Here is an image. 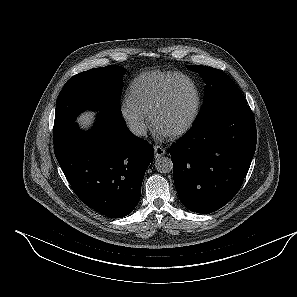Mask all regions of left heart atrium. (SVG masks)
Wrapping results in <instances>:
<instances>
[{"instance_id":"39dd6f15","label":"left heart atrium","mask_w":297,"mask_h":297,"mask_svg":"<svg viewBox=\"0 0 297 297\" xmlns=\"http://www.w3.org/2000/svg\"><path fill=\"white\" fill-rule=\"evenodd\" d=\"M155 132H156L157 134H159V135H165V134H163L162 132H160L159 130H157L156 128H155Z\"/></svg>"}]
</instances>
